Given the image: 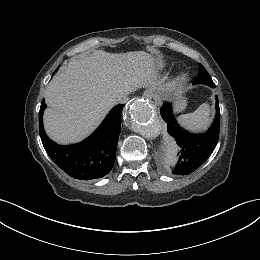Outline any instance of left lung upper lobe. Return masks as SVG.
I'll use <instances>...</instances> for the list:
<instances>
[{"mask_svg":"<svg viewBox=\"0 0 260 260\" xmlns=\"http://www.w3.org/2000/svg\"><path fill=\"white\" fill-rule=\"evenodd\" d=\"M193 83L194 84H206V85H209L210 87L215 86L210 75L208 74L206 69L201 64L199 65L198 77L193 81Z\"/></svg>","mask_w":260,"mask_h":260,"instance_id":"left-lung-upper-lobe-1","label":"left lung upper lobe"}]
</instances>
